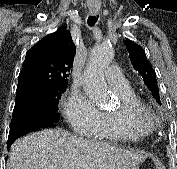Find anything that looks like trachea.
Segmentation results:
<instances>
[{
  "label": "trachea",
  "mask_w": 177,
  "mask_h": 169,
  "mask_svg": "<svg viewBox=\"0 0 177 169\" xmlns=\"http://www.w3.org/2000/svg\"><path fill=\"white\" fill-rule=\"evenodd\" d=\"M96 21H97L96 16H89L87 20L89 26H93L96 23Z\"/></svg>",
  "instance_id": "trachea-1"
}]
</instances>
